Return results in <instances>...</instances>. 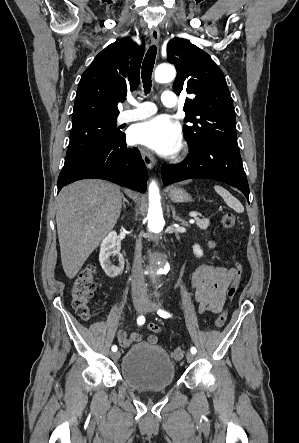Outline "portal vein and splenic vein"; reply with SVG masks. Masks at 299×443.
Returning a JSON list of instances; mask_svg holds the SVG:
<instances>
[{
  "instance_id": "18ae733b",
  "label": "portal vein and splenic vein",
  "mask_w": 299,
  "mask_h": 443,
  "mask_svg": "<svg viewBox=\"0 0 299 443\" xmlns=\"http://www.w3.org/2000/svg\"><path fill=\"white\" fill-rule=\"evenodd\" d=\"M189 215H190V217L197 218L198 213L197 212H190Z\"/></svg>"
}]
</instances>
